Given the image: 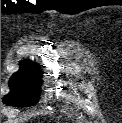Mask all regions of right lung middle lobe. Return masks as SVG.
Returning <instances> with one entry per match:
<instances>
[{"mask_svg":"<svg viewBox=\"0 0 122 123\" xmlns=\"http://www.w3.org/2000/svg\"><path fill=\"white\" fill-rule=\"evenodd\" d=\"M42 73L40 70L21 67L9 80L10 93L3 103L11 106L26 107L38 102Z\"/></svg>","mask_w":122,"mask_h":123,"instance_id":"obj_1","label":"right lung middle lobe"}]
</instances>
